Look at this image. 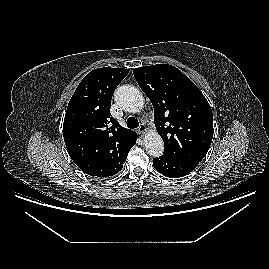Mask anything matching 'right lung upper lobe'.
<instances>
[{
  "instance_id": "1",
  "label": "right lung upper lobe",
  "mask_w": 269,
  "mask_h": 269,
  "mask_svg": "<svg viewBox=\"0 0 269 269\" xmlns=\"http://www.w3.org/2000/svg\"><path fill=\"white\" fill-rule=\"evenodd\" d=\"M129 69L99 68L89 72L67 107L63 136L70 157L86 174L109 177L123 167L137 134L111 116L112 95Z\"/></svg>"
}]
</instances>
